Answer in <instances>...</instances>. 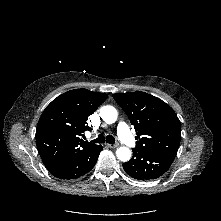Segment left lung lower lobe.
I'll return each mask as SVG.
<instances>
[{
    "mask_svg": "<svg viewBox=\"0 0 221 221\" xmlns=\"http://www.w3.org/2000/svg\"><path fill=\"white\" fill-rule=\"evenodd\" d=\"M173 160V158L164 155L133 149L131 160L123 163V168L135 179L151 180L164 174Z\"/></svg>",
    "mask_w": 221,
    "mask_h": 221,
    "instance_id": "obj_1",
    "label": "left lung lower lobe"
}]
</instances>
